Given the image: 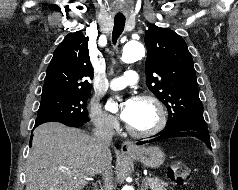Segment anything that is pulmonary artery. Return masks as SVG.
Segmentation results:
<instances>
[{
	"mask_svg": "<svg viewBox=\"0 0 238 190\" xmlns=\"http://www.w3.org/2000/svg\"><path fill=\"white\" fill-rule=\"evenodd\" d=\"M138 73L134 70L126 71L121 77L114 78L110 82V88L112 90H121L128 85H135L138 83Z\"/></svg>",
	"mask_w": 238,
	"mask_h": 190,
	"instance_id": "pulmonary-artery-1",
	"label": "pulmonary artery"
}]
</instances>
